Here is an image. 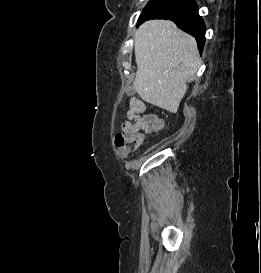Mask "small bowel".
I'll return each instance as SVG.
<instances>
[{
  "mask_svg": "<svg viewBox=\"0 0 261 273\" xmlns=\"http://www.w3.org/2000/svg\"><path fill=\"white\" fill-rule=\"evenodd\" d=\"M126 116L129 121L123 123V130L134 129L153 133L159 131L164 125L163 119L155 114H145L142 117H135L132 110L129 109ZM130 120H135V123H132Z\"/></svg>",
  "mask_w": 261,
  "mask_h": 273,
  "instance_id": "c3829d8e",
  "label": "small bowel"
}]
</instances>
